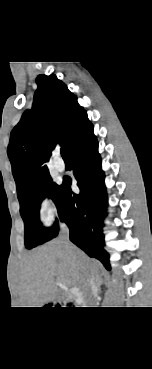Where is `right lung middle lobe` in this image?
<instances>
[{"label": "right lung middle lobe", "mask_w": 152, "mask_h": 369, "mask_svg": "<svg viewBox=\"0 0 152 369\" xmlns=\"http://www.w3.org/2000/svg\"><path fill=\"white\" fill-rule=\"evenodd\" d=\"M61 185L52 182L50 175L27 189L20 197V213L25 225V247L32 249L55 237L58 221L50 228L43 227L39 219L40 204L45 197L51 198L56 206Z\"/></svg>", "instance_id": "obj_1"}]
</instances>
